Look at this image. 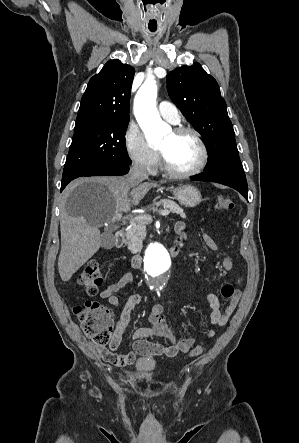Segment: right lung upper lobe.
<instances>
[{
  "instance_id": "cb5924a9",
  "label": "right lung upper lobe",
  "mask_w": 299,
  "mask_h": 443,
  "mask_svg": "<svg viewBox=\"0 0 299 443\" xmlns=\"http://www.w3.org/2000/svg\"><path fill=\"white\" fill-rule=\"evenodd\" d=\"M135 70L109 60L94 75L81 99L74 129L106 120H129L130 90Z\"/></svg>"
}]
</instances>
